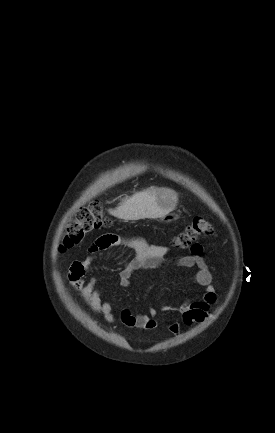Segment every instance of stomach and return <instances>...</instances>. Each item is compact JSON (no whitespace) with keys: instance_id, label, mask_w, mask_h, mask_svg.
<instances>
[{"instance_id":"obj_1","label":"stomach","mask_w":275,"mask_h":433,"mask_svg":"<svg viewBox=\"0 0 275 433\" xmlns=\"http://www.w3.org/2000/svg\"><path fill=\"white\" fill-rule=\"evenodd\" d=\"M156 199L158 207L162 211H168L166 215L161 217V220L165 222H170L176 219L174 215H169V212H171L176 206L177 194L171 189L161 188L157 190Z\"/></svg>"}]
</instances>
